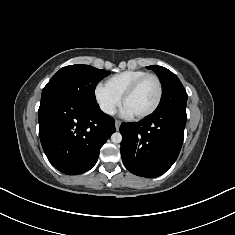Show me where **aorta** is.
<instances>
[{
    "instance_id": "762f6f07",
    "label": "aorta",
    "mask_w": 235,
    "mask_h": 235,
    "mask_svg": "<svg viewBox=\"0 0 235 235\" xmlns=\"http://www.w3.org/2000/svg\"><path fill=\"white\" fill-rule=\"evenodd\" d=\"M111 141L115 144L120 143L122 141V135L119 132H115L111 136Z\"/></svg>"
}]
</instances>
